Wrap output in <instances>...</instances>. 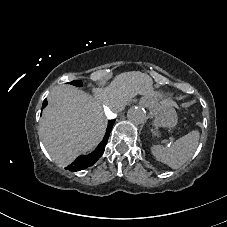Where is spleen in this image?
<instances>
[{
  "instance_id": "1",
  "label": "spleen",
  "mask_w": 227,
  "mask_h": 227,
  "mask_svg": "<svg viewBox=\"0 0 227 227\" xmlns=\"http://www.w3.org/2000/svg\"><path fill=\"white\" fill-rule=\"evenodd\" d=\"M199 141V131L193 130L177 139L170 147L163 145H150V153L158 161L172 169H178L194 153Z\"/></svg>"
}]
</instances>
